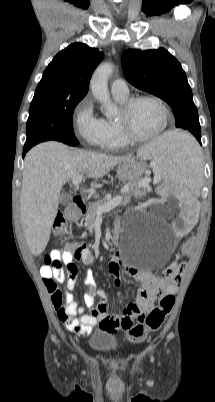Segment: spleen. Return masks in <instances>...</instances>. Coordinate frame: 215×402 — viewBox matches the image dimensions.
Here are the masks:
<instances>
[{
	"label": "spleen",
	"mask_w": 215,
	"mask_h": 402,
	"mask_svg": "<svg viewBox=\"0 0 215 402\" xmlns=\"http://www.w3.org/2000/svg\"><path fill=\"white\" fill-rule=\"evenodd\" d=\"M142 159H152L155 172L165 181L184 186L185 193L199 189L203 165L197 134L186 133L185 128H170L169 132L146 144L138 151Z\"/></svg>",
	"instance_id": "1"
}]
</instances>
